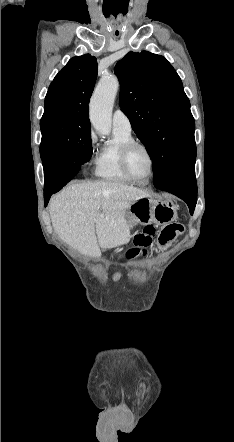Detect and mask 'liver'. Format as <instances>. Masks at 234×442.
Here are the masks:
<instances>
[{"label":"liver","instance_id":"obj_1","mask_svg":"<svg viewBox=\"0 0 234 442\" xmlns=\"http://www.w3.org/2000/svg\"><path fill=\"white\" fill-rule=\"evenodd\" d=\"M149 193L122 183H74L54 195L49 212L55 232L81 254L100 257L101 250L125 245L130 229L126 212Z\"/></svg>","mask_w":234,"mask_h":442}]
</instances>
